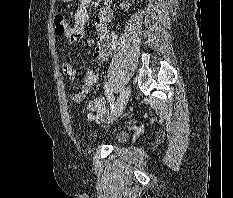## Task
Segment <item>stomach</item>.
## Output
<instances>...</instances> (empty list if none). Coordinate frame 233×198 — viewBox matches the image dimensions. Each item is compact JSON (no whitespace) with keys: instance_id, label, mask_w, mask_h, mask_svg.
<instances>
[{"instance_id":"obj_1","label":"stomach","mask_w":233,"mask_h":198,"mask_svg":"<svg viewBox=\"0 0 233 198\" xmlns=\"http://www.w3.org/2000/svg\"><path fill=\"white\" fill-rule=\"evenodd\" d=\"M62 2H70L71 0H60Z\"/></svg>"}]
</instances>
